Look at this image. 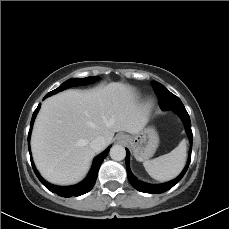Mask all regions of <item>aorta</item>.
Returning <instances> with one entry per match:
<instances>
[{
	"label": "aorta",
	"instance_id": "1",
	"mask_svg": "<svg viewBox=\"0 0 229 229\" xmlns=\"http://www.w3.org/2000/svg\"><path fill=\"white\" fill-rule=\"evenodd\" d=\"M126 151L122 145H113L110 149V157L115 161H121L125 158Z\"/></svg>",
	"mask_w": 229,
	"mask_h": 229
}]
</instances>
